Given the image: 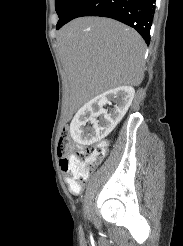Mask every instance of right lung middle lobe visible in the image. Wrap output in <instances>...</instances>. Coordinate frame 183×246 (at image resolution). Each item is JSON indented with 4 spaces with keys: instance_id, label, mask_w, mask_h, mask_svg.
Returning a JSON list of instances; mask_svg holds the SVG:
<instances>
[{
    "instance_id": "obj_1",
    "label": "right lung middle lobe",
    "mask_w": 183,
    "mask_h": 246,
    "mask_svg": "<svg viewBox=\"0 0 183 246\" xmlns=\"http://www.w3.org/2000/svg\"><path fill=\"white\" fill-rule=\"evenodd\" d=\"M78 1L79 0H55V8L59 16V21L57 24L62 23L70 16Z\"/></svg>"
}]
</instances>
